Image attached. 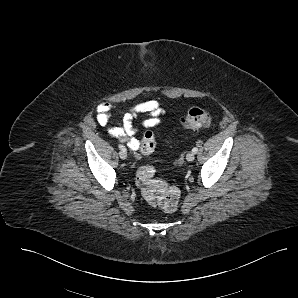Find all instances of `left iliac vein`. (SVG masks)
<instances>
[{
	"instance_id": "left-iliac-vein-1",
	"label": "left iliac vein",
	"mask_w": 298,
	"mask_h": 298,
	"mask_svg": "<svg viewBox=\"0 0 298 298\" xmlns=\"http://www.w3.org/2000/svg\"><path fill=\"white\" fill-rule=\"evenodd\" d=\"M195 158V154L193 152H189L187 155H186V160L189 161V162H192Z\"/></svg>"
}]
</instances>
